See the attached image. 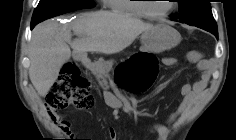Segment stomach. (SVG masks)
Returning <instances> with one entry per match:
<instances>
[{
    "mask_svg": "<svg viewBox=\"0 0 236 140\" xmlns=\"http://www.w3.org/2000/svg\"><path fill=\"white\" fill-rule=\"evenodd\" d=\"M141 40L143 53H160L176 47L181 41V35L170 25L159 23L145 31Z\"/></svg>",
    "mask_w": 236,
    "mask_h": 140,
    "instance_id": "obj_1",
    "label": "stomach"
}]
</instances>
